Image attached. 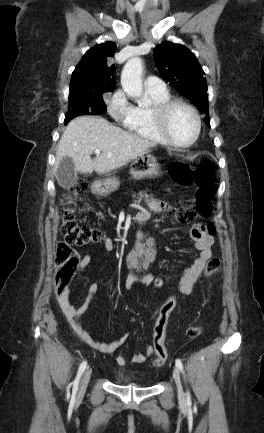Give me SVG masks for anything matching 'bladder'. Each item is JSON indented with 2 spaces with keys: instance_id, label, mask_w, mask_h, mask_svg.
<instances>
[{
  "instance_id": "1",
  "label": "bladder",
  "mask_w": 264,
  "mask_h": 433,
  "mask_svg": "<svg viewBox=\"0 0 264 433\" xmlns=\"http://www.w3.org/2000/svg\"><path fill=\"white\" fill-rule=\"evenodd\" d=\"M116 380L118 383L122 384L134 383V379L126 371L123 370L117 372Z\"/></svg>"
}]
</instances>
